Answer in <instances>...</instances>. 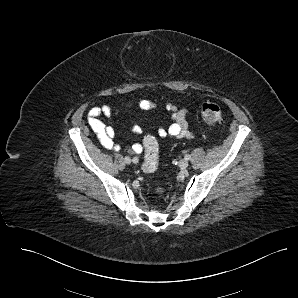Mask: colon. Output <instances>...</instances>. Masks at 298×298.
<instances>
[{
    "mask_svg": "<svg viewBox=\"0 0 298 298\" xmlns=\"http://www.w3.org/2000/svg\"><path fill=\"white\" fill-rule=\"evenodd\" d=\"M201 115L205 123L208 125H216L222 121V110L220 106L213 102H205L201 106ZM144 159L142 170L145 173H152L157 170L159 164V145L157 139L153 135H147L143 140ZM160 188L157 193H161Z\"/></svg>",
    "mask_w": 298,
    "mask_h": 298,
    "instance_id": "obj_1",
    "label": "colon"
}]
</instances>
